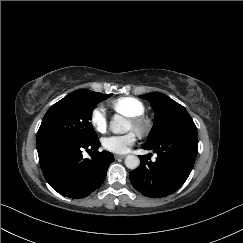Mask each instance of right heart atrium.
<instances>
[{"label":"right heart atrium","mask_w":243,"mask_h":243,"mask_svg":"<svg viewBox=\"0 0 243 243\" xmlns=\"http://www.w3.org/2000/svg\"><path fill=\"white\" fill-rule=\"evenodd\" d=\"M90 123L96 131H106L108 127V118L103 107L96 106L92 109L90 113Z\"/></svg>","instance_id":"obj_1"}]
</instances>
